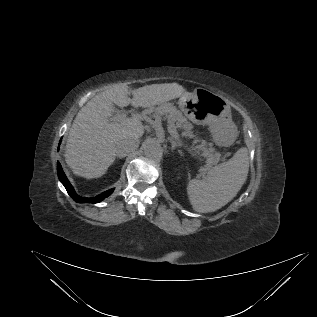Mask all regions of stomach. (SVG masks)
<instances>
[{
    "label": "stomach",
    "mask_w": 317,
    "mask_h": 317,
    "mask_svg": "<svg viewBox=\"0 0 317 317\" xmlns=\"http://www.w3.org/2000/svg\"><path fill=\"white\" fill-rule=\"evenodd\" d=\"M179 107L193 121L208 124L217 143L231 145L235 141L237 128L231 119L228 101L221 95L199 87L193 93L182 94ZM198 112L203 119L197 117Z\"/></svg>",
    "instance_id": "stomach-1"
}]
</instances>
